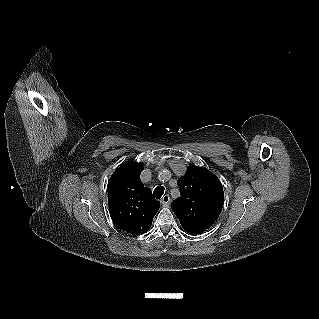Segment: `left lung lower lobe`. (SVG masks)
I'll use <instances>...</instances> for the list:
<instances>
[{
	"label": "left lung lower lobe",
	"mask_w": 319,
	"mask_h": 319,
	"mask_svg": "<svg viewBox=\"0 0 319 319\" xmlns=\"http://www.w3.org/2000/svg\"><path fill=\"white\" fill-rule=\"evenodd\" d=\"M185 231L191 235L201 234V232H194V231H188V230H185Z\"/></svg>",
	"instance_id": "0a47b994"
}]
</instances>
